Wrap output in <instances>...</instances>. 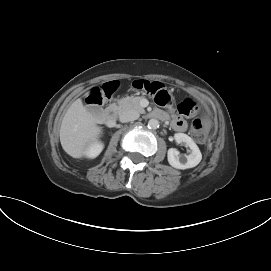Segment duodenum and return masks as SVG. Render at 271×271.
Segmentation results:
<instances>
[{"mask_svg":"<svg viewBox=\"0 0 271 271\" xmlns=\"http://www.w3.org/2000/svg\"><path fill=\"white\" fill-rule=\"evenodd\" d=\"M116 117H117V109L114 106L108 107L103 113L104 121L108 125L114 124Z\"/></svg>","mask_w":271,"mask_h":271,"instance_id":"410a0bca","label":"duodenum"}]
</instances>
